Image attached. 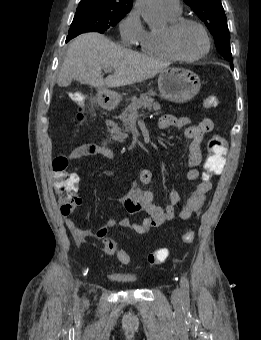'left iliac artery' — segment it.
<instances>
[{"label": "left iliac artery", "mask_w": 261, "mask_h": 340, "mask_svg": "<svg viewBox=\"0 0 261 340\" xmlns=\"http://www.w3.org/2000/svg\"><path fill=\"white\" fill-rule=\"evenodd\" d=\"M181 283V292H182V302L184 305L188 306L189 305V282L185 276L181 277L180 280Z\"/></svg>", "instance_id": "44dca946"}]
</instances>
